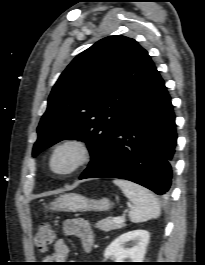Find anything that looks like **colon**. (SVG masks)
Returning <instances> with one entry per match:
<instances>
[{
	"label": "colon",
	"instance_id": "5ec220e1",
	"mask_svg": "<svg viewBox=\"0 0 205 265\" xmlns=\"http://www.w3.org/2000/svg\"><path fill=\"white\" fill-rule=\"evenodd\" d=\"M34 242L41 252L48 251L55 244V233L52 227L48 224L40 225Z\"/></svg>",
	"mask_w": 205,
	"mask_h": 265
}]
</instances>
